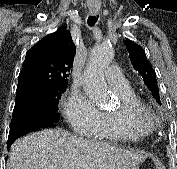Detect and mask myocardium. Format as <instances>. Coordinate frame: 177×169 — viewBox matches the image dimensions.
Returning <instances> with one entry per match:
<instances>
[{
  "instance_id": "obj_1",
  "label": "myocardium",
  "mask_w": 177,
  "mask_h": 169,
  "mask_svg": "<svg viewBox=\"0 0 177 169\" xmlns=\"http://www.w3.org/2000/svg\"><path fill=\"white\" fill-rule=\"evenodd\" d=\"M117 111L124 116L130 126L143 131L151 132L158 125L155 114L142 102L120 105Z\"/></svg>"
}]
</instances>
